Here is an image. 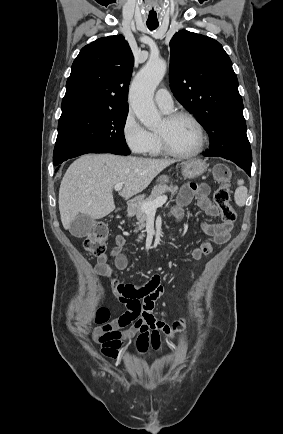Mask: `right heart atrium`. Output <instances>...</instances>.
<instances>
[{
  "instance_id": "1",
  "label": "right heart atrium",
  "mask_w": 283,
  "mask_h": 434,
  "mask_svg": "<svg viewBox=\"0 0 283 434\" xmlns=\"http://www.w3.org/2000/svg\"><path fill=\"white\" fill-rule=\"evenodd\" d=\"M121 133L129 150L135 154H145L150 146L152 135L129 109L124 117Z\"/></svg>"
}]
</instances>
